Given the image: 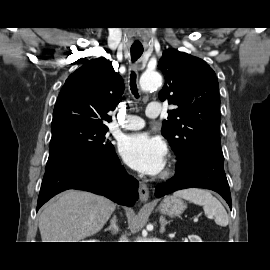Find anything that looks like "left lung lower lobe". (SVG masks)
Returning a JSON list of instances; mask_svg holds the SVG:
<instances>
[{
	"instance_id": "left-lung-lower-lobe-1",
	"label": "left lung lower lobe",
	"mask_w": 270,
	"mask_h": 270,
	"mask_svg": "<svg viewBox=\"0 0 270 270\" xmlns=\"http://www.w3.org/2000/svg\"><path fill=\"white\" fill-rule=\"evenodd\" d=\"M223 161V153L193 150L190 156L178 160L175 176L157 186L156 197L160 198L180 189L199 187L216 191L231 208L230 189Z\"/></svg>"
}]
</instances>
